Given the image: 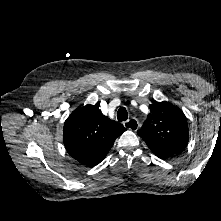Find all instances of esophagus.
I'll return each instance as SVG.
<instances>
[{
    "mask_svg": "<svg viewBox=\"0 0 221 221\" xmlns=\"http://www.w3.org/2000/svg\"><path fill=\"white\" fill-rule=\"evenodd\" d=\"M124 126H125V128H127L129 130L136 131L139 127V123H138L137 119L131 118V119L124 122Z\"/></svg>",
    "mask_w": 221,
    "mask_h": 221,
    "instance_id": "1",
    "label": "esophagus"
}]
</instances>
